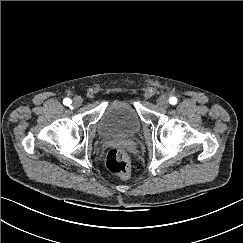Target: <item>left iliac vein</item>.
<instances>
[{
    "mask_svg": "<svg viewBox=\"0 0 243 243\" xmlns=\"http://www.w3.org/2000/svg\"><path fill=\"white\" fill-rule=\"evenodd\" d=\"M157 104L161 108H167L169 106V101L165 96H161L158 98Z\"/></svg>",
    "mask_w": 243,
    "mask_h": 243,
    "instance_id": "left-iliac-vein-1",
    "label": "left iliac vein"
}]
</instances>
